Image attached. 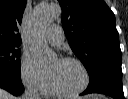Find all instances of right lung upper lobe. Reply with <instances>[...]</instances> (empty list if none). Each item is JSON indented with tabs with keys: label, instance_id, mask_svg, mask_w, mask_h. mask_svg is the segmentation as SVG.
I'll use <instances>...</instances> for the list:
<instances>
[{
	"label": "right lung upper lobe",
	"instance_id": "right-lung-upper-lobe-1",
	"mask_svg": "<svg viewBox=\"0 0 128 99\" xmlns=\"http://www.w3.org/2000/svg\"><path fill=\"white\" fill-rule=\"evenodd\" d=\"M26 0H0V45L19 46L18 33Z\"/></svg>",
	"mask_w": 128,
	"mask_h": 99
}]
</instances>
